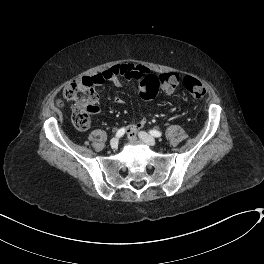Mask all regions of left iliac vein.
Listing matches in <instances>:
<instances>
[{"instance_id":"obj_1","label":"left iliac vein","mask_w":264,"mask_h":264,"mask_svg":"<svg viewBox=\"0 0 264 264\" xmlns=\"http://www.w3.org/2000/svg\"><path fill=\"white\" fill-rule=\"evenodd\" d=\"M139 138L144 141L146 144L150 146H155L157 144L155 138L147 134L146 132H139L138 133Z\"/></svg>"}]
</instances>
